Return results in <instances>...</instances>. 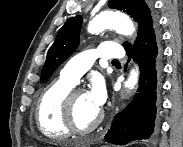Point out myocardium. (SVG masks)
<instances>
[{
	"mask_svg": "<svg viewBox=\"0 0 183 147\" xmlns=\"http://www.w3.org/2000/svg\"><path fill=\"white\" fill-rule=\"evenodd\" d=\"M85 93L81 88L72 89L65 97L62 105V115L65 126L71 133L84 135L93 132L103 120V112L99 110V113L95 120L86 128H80L74 119V104L75 99L79 94Z\"/></svg>",
	"mask_w": 183,
	"mask_h": 147,
	"instance_id": "myocardium-1",
	"label": "myocardium"
}]
</instances>
